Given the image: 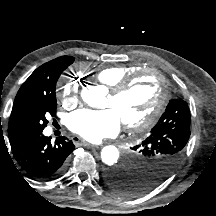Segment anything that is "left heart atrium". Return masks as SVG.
Listing matches in <instances>:
<instances>
[{
  "label": "left heart atrium",
  "mask_w": 216,
  "mask_h": 216,
  "mask_svg": "<svg viewBox=\"0 0 216 216\" xmlns=\"http://www.w3.org/2000/svg\"><path fill=\"white\" fill-rule=\"evenodd\" d=\"M121 126V119L110 107L102 110L80 109L67 119L68 129L88 141H99L115 136Z\"/></svg>",
  "instance_id": "39dd6f15"
}]
</instances>
